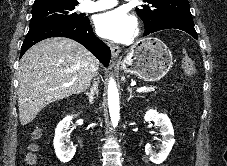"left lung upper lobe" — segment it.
I'll return each instance as SVG.
<instances>
[{
  "label": "left lung upper lobe",
  "instance_id": "obj_1",
  "mask_svg": "<svg viewBox=\"0 0 227 166\" xmlns=\"http://www.w3.org/2000/svg\"><path fill=\"white\" fill-rule=\"evenodd\" d=\"M148 5H142L136 12L143 20L145 31H151L167 21L181 16H190L188 0H145Z\"/></svg>",
  "mask_w": 227,
  "mask_h": 166
}]
</instances>
